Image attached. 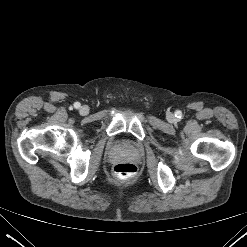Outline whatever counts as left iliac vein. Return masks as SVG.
Here are the masks:
<instances>
[{"label": "left iliac vein", "instance_id": "obj_1", "mask_svg": "<svg viewBox=\"0 0 247 247\" xmlns=\"http://www.w3.org/2000/svg\"><path fill=\"white\" fill-rule=\"evenodd\" d=\"M167 119H168L169 121H174V120H175V117H174L173 114L169 113V114L167 115Z\"/></svg>", "mask_w": 247, "mask_h": 247}]
</instances>
